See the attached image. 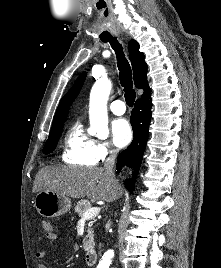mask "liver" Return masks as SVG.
Wrapping results in <instances>:
<instances>
[{
  "label": "liver",
  "instance_id": "6515ba94",
  "mask_svg": "<svg viewBox=\"0 0 221 268\" xmlns=\"http://www.w3.org/2000/svg\"><path fill=\"white\" fill-rule=\"evenodd\" d=\"M32 191L112 202L121 195L122 188L102 167L46 166L36 174Z\"/></svg>",
  "mask_w": 221,
  "mask_h": 268
}]
</instances>
